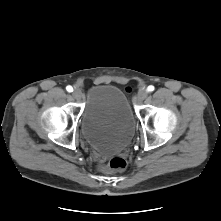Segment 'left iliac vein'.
<instances>
[{
  "mask_svg": "<svg viewBox=\"0 0 221 221\" xmlns=\"http://www.w3.org/2000/svg\"><path fill=\"white\" fill-rule=\"evenodd\" d=\"M147 95H148L147 89L141 88L137 93L136 101L137 102L143 101L144 99H146Z\"/></svg>",
  "mask_w": 221,
  "mask_h": 221,
  "instance_id": "1",
  "label": "left iliac vein"
}]
</instances>
